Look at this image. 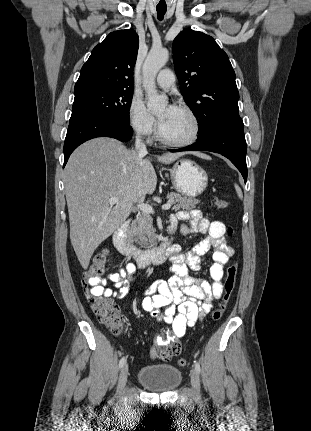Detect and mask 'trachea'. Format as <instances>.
Segmentation results:
<instances>
[{
	"instance_id": "trachea-1",
	"label": "trachea",
	"mask_w": 311,
	"mask_h": 431,
	"mask_svg": "<svg viewBox=\"0 0 311 431\" xmlns=\"http://www.w3.org/2000/svg\"><path fill=\"white\" fill-rule=\"evenodd\" d=\"M156 10H157L158 19L162 20L163 17H164V15H165V13H166V11H167V8L166 7L165 8H163V7H156Z\"/></svg>"
}]
</instances>
